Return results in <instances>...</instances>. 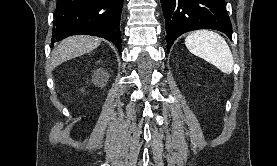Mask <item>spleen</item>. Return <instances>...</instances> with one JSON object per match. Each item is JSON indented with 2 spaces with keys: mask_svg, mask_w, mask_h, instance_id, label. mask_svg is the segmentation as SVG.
I'll return each instance as SVG.
<instances>
[{
  "mask_svg": "<svg viewBox=\"0 0 277 166\" xmlns=\"http://www.w3.org/2000/svg\"><path fill=\"white\" fill-rule=\"evenodd\" d=\"M187 49L194 55L216 66L223 73L233 70L231 50L219 34L209 30H199L189 34L185 39Z\"/></svg>",
  "mask_w": 277,
  "mask_h": 166,
  "instance_id": "1",
  "label": "spleen"
}]
</instances>
